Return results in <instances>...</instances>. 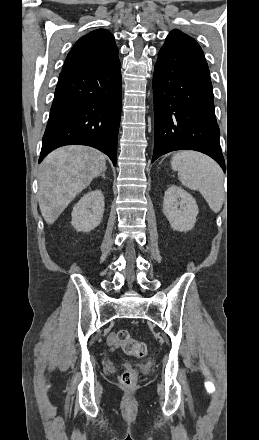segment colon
<instances>
[{
    "instance_id": "1",
    "label": "colon",
    "mask_w": 259,
    "mask_h": 440,
    "mask_svg": "<svg viewBox=\"0 0 259 440\" xmlns=\"http://www.w3.org/2000/svg\"><path fill=\"white\" fill-rule=\"evenodd\" d=\"M115 336L117 346H119L126 354L137 358H142L147 355L149 350L148 345L134 339L127 330H119ZM137 377L138 374L136 369L130 363H127L126 370L120 377V384L123 387H130L136 382Z\"/></svg>"
}]
</instances>
